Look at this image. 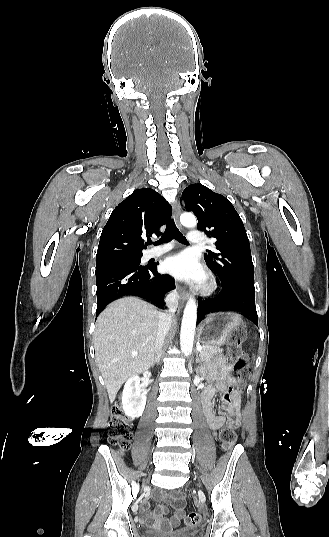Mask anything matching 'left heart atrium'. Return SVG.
<instances>
[{"label":"left heart atrium","mask_w":329,"mask_h":537,"mask_svg":"<svg viewBox=\"0 0 329 537\" xmlns=\"http://www.w3.org/2000/svg\"><path fill=\"white\" fill-rule=\"evenodd\" d=\"M164 268L167 272L179 279L191 280L197 283L203 281L205 272L191 252H181L165 260Z\"/></svg>","instance_id":"left-heart-atrium-1"}]
</instances>
